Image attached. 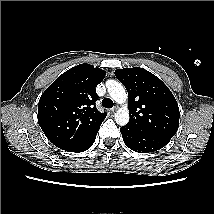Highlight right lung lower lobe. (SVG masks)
Here are the masks:
<instances>
[{
    "label": "right lung lower lobe",
    "instance_id": "98d812e1",
    "mask_svg": "<svg viewBox=\"0 0 214 214\" xmlns=\"http://www.w3.org/2000/svg\"><path fill=\"white\" fill-rule=\"evenodd\" d=\"M96 134L90 140H88L83 146H81L79 149H77L74 152H83V151H86L87 149H89L95 141Z\"/></svg>",
    "mask_w": 214,
    "mask_h": 214
}]
</instances>
